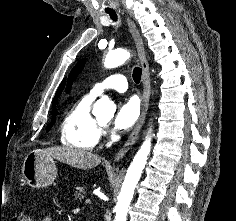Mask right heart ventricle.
I'll list each match as a JSON object with an SVG mask.
<instances>
[{
    "instance_id": "right-heart-ventricle-1",
    "label": "right heart ventricle",
    "mask_w": 236,
    "mask_h": 221,
    "mask_svg": "<svg viewBox=\"0 0 236 221\" xmlns=\"http://www.w3.org/2000/svg\"><path fill=\"white\" fill-rule=\"evenodd\" d=\"M93 98L85 95L64 116L60 127L61 143L69 148L91 150L98 143L100 127L91 113Z\"/></svg>"
}]
</instances>
